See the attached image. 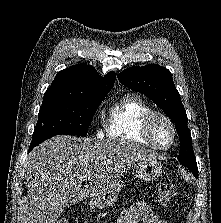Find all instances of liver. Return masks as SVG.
<instances>
[{
  "label": "liver",
  "instance_id": "liver-1",
  "mask_svg": "<svg viewBox=\"0 0 221 223\" xmlns=\"http://www.w3.org/2000/svg\"><path fill=\"white\" fill-rule=\"evenodd\" d=\"M154 158L152 151L123 140L50 138L25 162L30 202L23 223H56L65 207L110 189L134 162ZM83 181L88 183L82 188Z\"/></svg>",
  "mask_w": 221,
  "mask_h": 223
}]
</instances>
